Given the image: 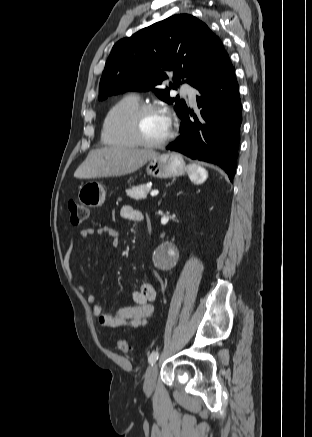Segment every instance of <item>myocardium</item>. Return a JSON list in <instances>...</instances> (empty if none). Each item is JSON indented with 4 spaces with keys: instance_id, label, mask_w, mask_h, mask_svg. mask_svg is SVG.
I'll list each match as a JSON object with an SVG mask.
<instances>
[{
    "instance_id": "1",
    "label": "myocardium",
    "mask_w": 312,
    "mask_h": 437,
    "mask_svg": "<svg viewBox=\"0 0 312 437\" xmlns=\"http://www.w3.org/2000/svg\"><path fill=\"white\" fill-rule=\"evenodd\" d=\"M152 112H162L166 113L165 110L156 104H149L144 103L140 104L131 114L130 117V128L131 132L136 139V141L139 143V145L146 146V147H161L166 144H168L174 137V128L173 123L170 120V130L167 136L159 141H152L145 137L142 131V119L146 114L152 113Z\"/></svg>"
}]
</instances>
